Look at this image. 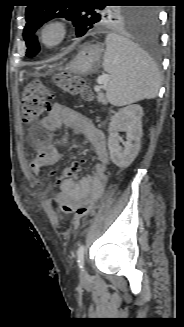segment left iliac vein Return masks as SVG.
<instances>
[{
  "label": "left iliac vein",
  "mask_w": 184,
  "mask_h": 327,
  "mask_svg": "<svg viewBox=\"0 0 184 327\" xmlns=\"http://www.w3.org/2000/svg\"><path fill=\"white\" fill-rule=\"evenodd\" d=\"M81 277H85L87 275L85 269H82L81 270V273H80Z\"/></svg>",
  "instance_id": "4c4485c4"
}]
</instances>
